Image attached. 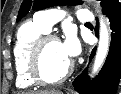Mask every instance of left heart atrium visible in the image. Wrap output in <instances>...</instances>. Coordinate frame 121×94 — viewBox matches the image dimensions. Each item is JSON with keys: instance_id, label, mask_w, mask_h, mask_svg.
Returning <instances> with one entry per match:
<instances>
[{"instance_id": "obj_1", "label": "left heart atrium", "mask_w": 121, "mask_h": 94, "mask_svg": "<svg viewBox=\"0 0 121 94\" xmlns=\"http://www.w3.org/2000/svg\"><path fill=\"white\" fill-rule=\"evenodd\" d=\"M61 44L63 46L64 52L70 59H73L80 51L78 41L71 35H69L66 41Z\"/></svg>"}]
</instances>
